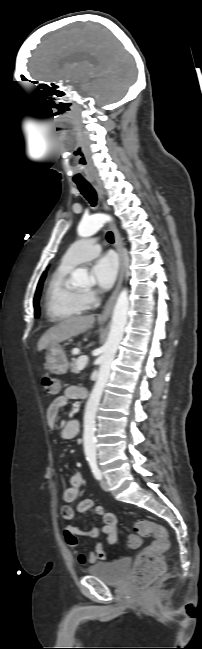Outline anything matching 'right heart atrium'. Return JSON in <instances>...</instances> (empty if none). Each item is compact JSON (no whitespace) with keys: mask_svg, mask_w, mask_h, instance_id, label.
Listing matches in <instances>:
<instances>
[{"mask_svg":"<svg viewBox=\"0 0 202 649\" xmlns=\"http://www.w3.org/2000/svg\"><path fill=\"white\" fill-rule=\"evenodd\" d=\"M83 299L87 305H92L97 301V294L94 291H85Z\"/></svg>","mask_w":202,"mask_h":649,"instance_id":"obj_1","label":"right heart atrium"}]
</instances>
